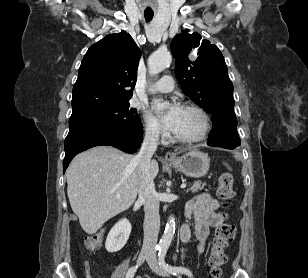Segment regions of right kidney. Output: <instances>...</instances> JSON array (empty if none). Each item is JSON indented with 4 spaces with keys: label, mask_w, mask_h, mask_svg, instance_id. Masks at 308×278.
Segmentation results:
<instances>
[{
    "label": "right kidney",
    "mask_w": 308,
    "mask_h": 278,
    "mask_svg": "<svg viewBox=\"0 0 308 278\" xmlns=\"http://www.w3.org/2000/svg\"><path fill=\"white\" fill-rule=\"evenodd\" d=\"M131 224L124 218L118 221L108 233L105 248L113 253L121 250L129 239L131 233Z\"/></svg>",
    "instance_id": "1"
}]
</instances>
